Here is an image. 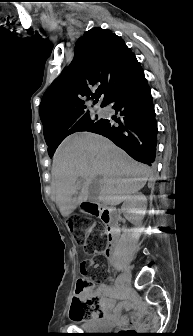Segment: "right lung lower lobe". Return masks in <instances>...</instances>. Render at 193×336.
<instances>
[{
    "instance_id": "1",
    "label": "right lung lower lobe",
    "mask_w": 193,
    "mask_h": 336,
    "mask_svg": "<svg viewBox=\"0 0 193 336\" xmlns=\"http://www.w3.org/2000/svg\"><path fill=\"white\" fill-rule=\"evenodd\" d=\"M112 105L120 118L105 119L94 133L103 135L135 160L151 166L155 162L157 124L150 89L136 62L118 81L104 106Z\"/></svg>"
}]
</instances>
